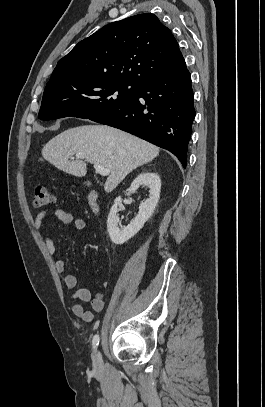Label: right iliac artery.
<instances>
[{"instance_id": "1", "label": "right iliac artery", "mask_w": 265, "mask_h": 407, "mask_svg": "<svg viewBox=\"0 0 265 407\" xmlns=\"http://www.w3.org/2000/svg\"><path fill=\"white\" fill-rule=\"evenodd\" d=\"M92 345H93V348H94V349L97 348V346L99 345V335H95V336L93 337Z\"/></svg>"}]
</instances>
